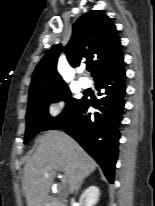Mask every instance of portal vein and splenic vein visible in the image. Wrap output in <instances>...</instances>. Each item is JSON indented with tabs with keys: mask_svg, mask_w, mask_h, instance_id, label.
Masks as SVG:
<instances>
[{
	"mask_svg": "<svg viewBox=\"0 0 155 206\" xmlns=\"http://www.w3.org/2000/svg\"><path fill=\"white\" fill-rule=\"evenodd\" d=\"M49 169H47V171H48ZM60 178H61V180H62V183L63 184H65L66 183V178H65V176H60Z\"/></svg>",
	"mask_w": 155,
	"mask_h": 206,
	"instance_id": "portal-vein-and-splenic-vein-1",
	"label": "portal vein and splenic vein"
}]
</instances>
